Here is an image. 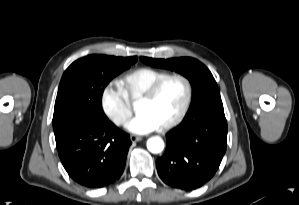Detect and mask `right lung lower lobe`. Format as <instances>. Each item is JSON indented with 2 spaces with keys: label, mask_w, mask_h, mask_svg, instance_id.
Returning <instances> with one entry per match:
<instances>
[{
  "label": "right lung lower lobe",
  "mask_w": 299,
  "mask_h": 205,
  "mask_svg": "<svg viewBox=\"0 0 299 205\" xmlns=\"http://www.w3.org/2000/svg\"><path fill=\"white\" fill-rule=\"evenodd\" d=\"M61 162L82 186L101 188L117 181L124 170L129 135L111 121L87 119L72 124L55 137Z\"/></svg>",
  "instance_id": "98d812e1"
}]
</instances>
